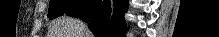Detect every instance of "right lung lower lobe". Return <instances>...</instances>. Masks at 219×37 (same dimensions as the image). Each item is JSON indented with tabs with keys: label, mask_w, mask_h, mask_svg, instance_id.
<instances>
[{
	"label": "right lung lower lobe",
	"mask_w": 219,
	"mask_h": 37,
	"mask_svg": "<svg viewBox=\"0 0 219 37\" xmlns=\"http://www.w3.org/2000/svg\"><path fill=\"white\" fill-rule=\"evenodd\" d=\"M128 0H83L66 14L82 17L96 37H123Z\"/></svg>",
	"instance_id": "1"
}]
</instances>
